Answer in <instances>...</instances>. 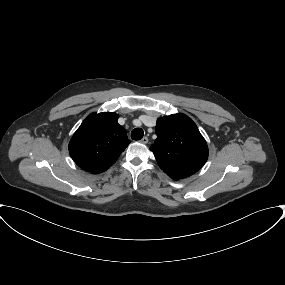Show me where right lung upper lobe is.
<instances>
[{
	"instance_id": "obj_1",
	"label": "right lung upper lobe",
	"mask_w": 285,
	"mask_h": 285,
	"mask_svg": "<svg viewBox=\"0 0 285 285\" xmlns=\"http://www.w3.org/2000/svg\"><path fill=\"white\" fill-rule=\"evenodd\" d=\"M112 112L92 113L86 117L69 143L75 163L92 174L106 171L130 144L126 130Z\"/></svg>"
}]
</instances>
